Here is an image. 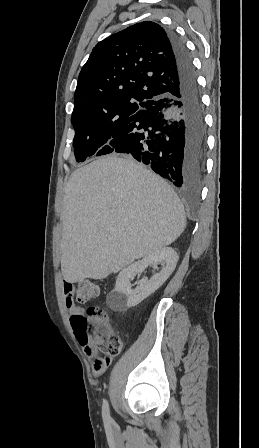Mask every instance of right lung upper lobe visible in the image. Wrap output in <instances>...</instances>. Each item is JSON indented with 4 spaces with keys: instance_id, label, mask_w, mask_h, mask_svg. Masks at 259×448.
<instances>
[{
    "instance_id": "1",
    "label": "right lung upper lobe",
    "mask_w": 259,
    "mask_h": 448,
    "mask_svg": "<svg viewBox=\"0 0 259 448\" xmlns=\"http://www.w3.org/2000/svg\"><path fill=\"white\" fill-rule=\"evenodd\" d=\"M167 32L144 21L99 42L83 66L72 115L148 105L178 87Z\"/></svg>"
}]
</instances>
